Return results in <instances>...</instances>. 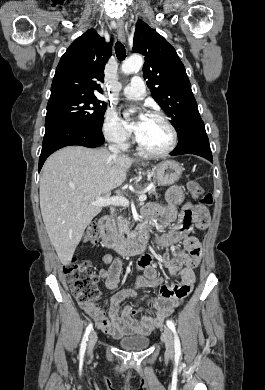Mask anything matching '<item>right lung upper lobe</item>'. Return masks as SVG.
<instances>
[{
	"label": "right lung upper lobe",
	"instance_id": "obj_1",
	"mask_svg": "<svg viewBox=\"0 0 265 390\" xmlns=\"http://www.w3.org/2000/svg\"><path fill=\"white\" fill-rule=\"evenodd\" d=\"M112 42L93 29L78 37L61 57L51 86L50 99L68 95L102 93L98 82L104 81V68L111 55Z\"/></svg>",
	"mask_w": 265,
	"mask_h": 390
}]
</instances>
